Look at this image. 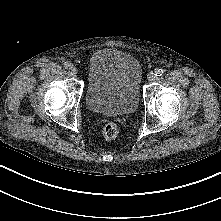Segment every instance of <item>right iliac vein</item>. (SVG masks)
Segmentation results:
<instances>
[{
  "label": "right iliac vein",
  "mask_w": 221,
  "mask_h": 221,
  "mask_svg": "<svg viewBox=\"0 0 221 221\" xmlns=\"http://www.w3.org/2000/svg\"><path fill=\"white\" fill-rule=\"evenodd\" d=\"M70 71H71V73L72 74H77L78 73V68L77 67H72L71 69H70Z\"/></svg>",
  "instance_id": "63e3f726"
}]
</instances>
